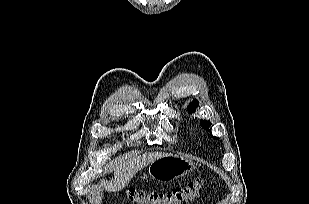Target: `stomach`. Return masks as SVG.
<instances>
[{
	"mask_svg": "<svg viewBox=\"0 0 309 204\" xmlns=\"http://www.w3.org/2000/svg\"><path fill=\"white\" fill-rule=\"evenodd\" d=\"M195 168L193 161L177 155L163 156L151 162L148 174L158 181H172L191 173Z\"/></svg>",
	"mask_w": 309,
	"mask_h": 204,
	"instance_id": "obj_1",
	"label": "stomach"
}]
</instances>
